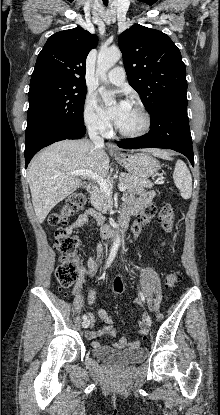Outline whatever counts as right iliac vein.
<instances>
[{
	"label": "right iliac vein",
	"mask_w": 220,
	"mask_h": 415,
	"mask_svg": "<svg viewBox=\"0 0 220 415\" xmlns=\"http://www.w3.org/2000/svg\"><path fill=\"white\" fill-rule=\"evenodd\" d=\"M91 324V321L89 319H86L82 322V327L83 328H88Z\"/></svg>",
	"instance_id": "1"
}]
</instances>
